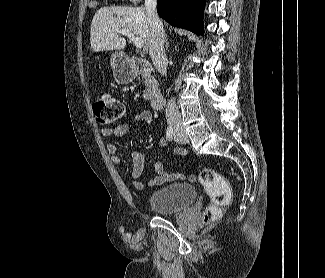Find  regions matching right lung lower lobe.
Returning a JSON list of instances; mask_svg holds the SVG:
<instances>
[{
	"mask_svg": "<svg viewBox=\"0 0 325 278\" xmlns=\"http://www.w3.org/2000/svg\"><path fill=\"white\" fill-rule=\"evenodd\" d=\"M206 0H158V14L169 24L201 35Z\"/></svg>",
	"mask_w": 325,
	"mask_h": 278,
	"instance_id": "1",
	"label": "right lung lower lobe"
}]
</instances>
